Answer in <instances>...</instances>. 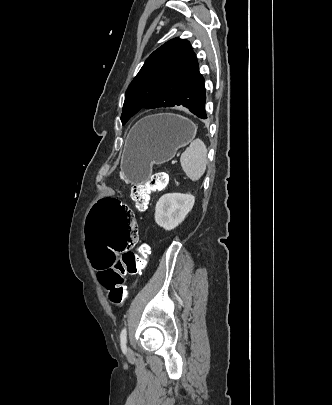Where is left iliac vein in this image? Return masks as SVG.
Returning <instances> with one entry per match:
<instances>
[{
	"label": "left iliac vein",
	"mask_w": 332,
	"mask_h": 405,
	"mask_svg": "<svg viewBox=\"0 0 332 405\" xmlns=\"http://www.w3.org/2000/svg\"><path fill=\"white\" fill-rule=\"evenodd\" d=\"M127 355L131 356L132 355V350L130 348L127 349Z\"/></svg>",
	"instance_id": "left-iliac-vein-1"
}]
</instances>
